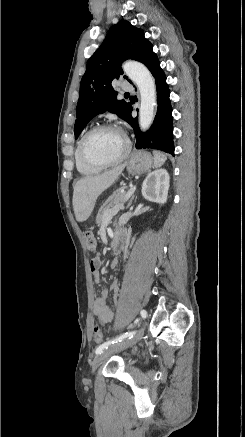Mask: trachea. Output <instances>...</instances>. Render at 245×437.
<instances>
[{
  "label": "trachea",
  "instance_id": "1",
  "mask_svg": "<svg viewBox=\"0 0 245 437\" xmlns=\"http://www.w3.org/2000/svg\"><path fill=\"white\" fill-rule=\"evenodd\" d=\"M125 95H129V93H125Z\"/></svg>",
  "mask_w": 245,
  "mask_h": 437
}]
</instances>
